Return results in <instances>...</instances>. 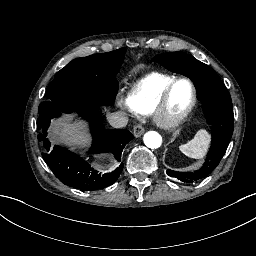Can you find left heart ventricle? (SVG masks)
<instances>
[{"mask_svg":"<svg viewBox=\"0 0 256 256\" xmlns=\"http://www.w3.org/2000/svg\"><path fill=\"white\" fill-rule=\"evenodd\" d=\"M191 99L192 93L190 86L185 82H181L175 87L169 99L167 108L160 111H154L151 104L144 100L142 111L143 113H153L165 124L167 117L170 114H178L185 110L190 105Z\"/></svg>","mask_w":256,"mask_h":256,"instance_id":"1","label":"left heart ventricle"}]
</instances>
